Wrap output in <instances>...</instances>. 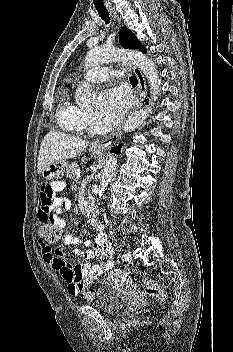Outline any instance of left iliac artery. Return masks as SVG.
Segmentation results:
<instances>
[{"instance_id": "44dca946", "label": "left iliac artery", "mask_w": 233, "mask_h": 352, "mask_svg": "<svg viewBox=\"0 0 233 352\" xmlns=\"http://www.w3.org/2000/svg\"><path fill=\"white\" fill-rule=\"evenodd\" d=\"M121 259H122V261H127V259H128L127 254H123Z\"/></svg>"}]
</instances>
